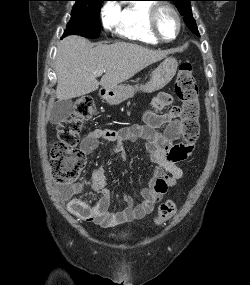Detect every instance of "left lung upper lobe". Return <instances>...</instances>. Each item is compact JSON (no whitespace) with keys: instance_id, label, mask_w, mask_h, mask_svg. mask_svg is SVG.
<instances>
[{"instance_id":"left-lung-upper-lobe-1","label":"left lung upper lobe","mask_w":250,"mask_h":285,"mask_svg":"<svg viewBox=\"0 0 250 285\" xmlns=\"http://www.w3.org/2000/svg\"><path fill=\"white\" fill-rule=\"evenodd\" d=\"M170 1L174 2L180 14L183 16L184 22L186 23L188 28L197 36H199V32L197 30V26L193 18L190 6V1L193 0H170Z\"/></svg>"}]
</instances>
